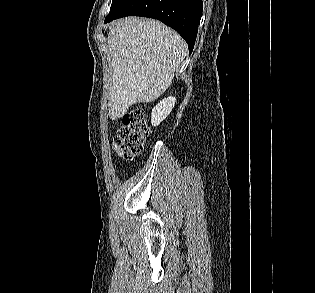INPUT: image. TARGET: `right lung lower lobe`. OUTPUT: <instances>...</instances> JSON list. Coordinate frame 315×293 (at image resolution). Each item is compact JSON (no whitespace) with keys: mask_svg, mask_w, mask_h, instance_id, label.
<instances>
[{"mask_svg":"<svg viewBox=\"0 0 315 293\" xmlns=\"http://www.w3.org/2000/svg\"><path fill=\"white\" fill-rule=\"evenodd\" d=\"M202 10V0H113L105 23L131 15L158 19L185 39L191 53Z\"/></svg>","mask_w":315,"mask_h":293,"instance_id":"right-lung-lower-lobe-1","label":"right lung lower lobe"}]
</instances>
